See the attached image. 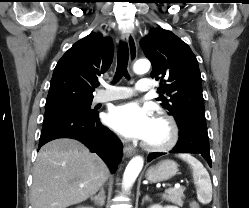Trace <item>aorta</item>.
<instances>
[{
  "label": "aorta",
  "instance_id": "762f6f07",
  "mask_svg": "<svg viewBox=\"0 0 249 208\" xmlns=\"http://www.w3.org/2000/svg\"><path fill=\"white\" fill-rule=\"evenodd\" d=\"M150 69V62L146 59H140L134 64L133 70L137 74H143ZM144 160L141 156H135L128 163L123 174V187L129 190L134 184L136 178L143 168Z\"/></svg>",
  "mask_w": 249,
  "mask_h": 208
}]
</instances>
